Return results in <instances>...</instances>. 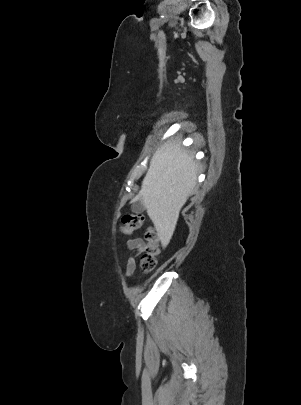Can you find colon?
Returning a JSON list of instances; mask_svg holds the SVG:
<instances>
[{
    "label": "colon",
    "mask_w": 301,
    "mask_h": 405,
    "mask_svg": "<svg viewBox=\"0 0 301 405\" xmlns=\"http://www.w3.org/2000/svg\"><path fill=\"white\" fill-rule=\"evenodd\" d=\"M144 216L140 213H128L122 218L121 232L130 234L142 227ZM146 244L141 258V268L151 271L157 263V257L161 253L160 240L153 228H148L145 233Z\"/></svg>",
    "instance_id": "5ec220e1"
}]
</instances>
